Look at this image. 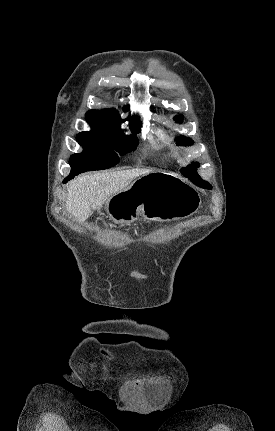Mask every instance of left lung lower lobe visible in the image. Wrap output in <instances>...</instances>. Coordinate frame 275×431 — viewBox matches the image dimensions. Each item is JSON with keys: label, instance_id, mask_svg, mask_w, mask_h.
<instances>
[{"label": "left lung lower lobe", "instance_id": "left-lung-lower-lobe-1", "mask_svg": "<svg viewBox=\"0 0 275 431\" xmlns=\"http://www.w3.org/2000/svg\"><path fill=\"white\" fill-rule=\"evenodd\" d=\"M189 178V177H188ZM194 184H196L197 186H199V187H202V188H206V189H211L212 188V186L208 183V182H206V181H204V180H202L201 178H199V177H196V178H189Z\"/></svg>", "mask_w": 275, "mask_h": 431}]
</instances>
